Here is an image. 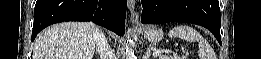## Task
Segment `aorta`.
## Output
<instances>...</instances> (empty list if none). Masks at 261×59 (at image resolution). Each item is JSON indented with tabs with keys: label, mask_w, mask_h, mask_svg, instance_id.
<instances>
[{
	"label": "aorta",
	"mask_w": 261,
	"mask_h": 59,
	"mask_svg": "<svg viewBox=\"0 0 261 59\" xmlns=\"http://www.w3.org/2000/svg\"><path fill=\"white\" fill-rule=\"evenodd\" d=\"M126 59H136L134 51L130 47H126Z\"/></svg>",
	"instance_id": "obj_1"
}]
</instances>
